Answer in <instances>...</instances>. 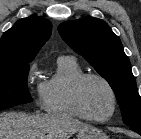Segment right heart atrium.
<instances>
[{
	"instance_id": "d8ad5b80",
	"label": "right heart atrium",
	"mask_w": 141,
	"mask_h": 139,
	"mask_svg": "<svg viewBox=\"0 0 141 139\" xmlns=\"http://www.w3.org/2000/svg\"><path fill=\"white\" fill-rule=\"evenodd\" d=\"M36 72V64L32 63L28 69V77H32Z\"/></svg>"
}]
</instances>
